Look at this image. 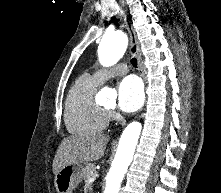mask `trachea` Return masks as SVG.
I'll return each instance as SVG.
<instances>
[{
	"label": "trachea",
	"mask_w": 221,
	"mask_h": 193,
	"mask_svg": "<svg viewBox=\"0 0 221 193\" xmlns=\"http://www.w3.org/2000/svg\"><path fill=\"white\" fill-rule=\"evenodd\" d=\"M131 64L136 68L137 67V59L136 58H132L131 59Z\"/></svg>",
	"instance_id": "3493384b"
}]
</instances>
